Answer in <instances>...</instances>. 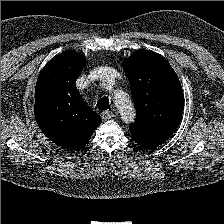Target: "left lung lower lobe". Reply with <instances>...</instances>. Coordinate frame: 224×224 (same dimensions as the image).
Segmentation results:
<instances>
[{
	"instance_id": "0a47b994",
	"label": "left lung lower lobe",
	"mask_w": 224,
	"mask_h": 224,
	"mask_svg": "<svg viewBox=\"0 0 224 224\" xmlns=\"http://www.w3.org/2000/svg\"><path fill=\"white\" fill-rule=\"evenodd\" d=\"M132 139L141 147L146 149H151L156 146H158L153 140L149 139L145 135L136 132V131H130Z\"/></svg>"
}]
</instances>
